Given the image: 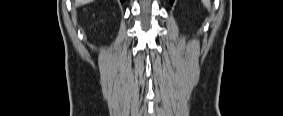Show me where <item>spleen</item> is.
I'll list each match as a JSON object with an SVG mask.
<instances>
[{"instance_id": "spleen-1", "label": "spleen", "mask_w": 283, "mask_h": 116, "mask_svg": "<svg viewBox=\"0 0 283 116\" xmlns=\"http://www.w3.org/2000/svg\"><path fill=\"white\" fill-rule=\"evenodd\" d=\"M206 7L209 9L210 8V3L207 1Z\"/></svg>"}]
</instances>
